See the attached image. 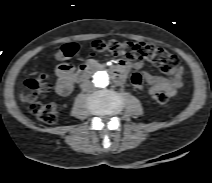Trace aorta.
Segmentation results:
<instances>
[{
	"label": "aorta",
	"instance_id": "762f6f07",
	"mask_svg": "<svg viewBox=\"0 0 212 183\" xmlns=\"http://www.w3.org/2000/svg\"><path fill=\"white\" fill-rule=\"evenodd\" d=\"M91 83L96 89H105L110 83V77L107 71L97 70L91 77Z\"/></svg>",
	"mask_w": 212,
	"mask_h": 183
}]
</instances>
